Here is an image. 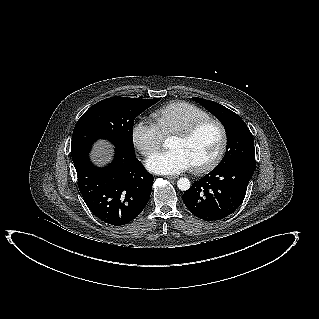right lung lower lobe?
<instances>
[{
  "mask_svg": "<svg viewBox=\"0 0 319 319\" xmlns=\"http://www.w3.org/2000/svg\"><path fill=\"white\" fill-rule=\"evenodd\" d=\"M90 148L72 154L78 187L91 212L114 226L131 222L146 206L154 181L139 160L117 148L115 158L104 168L89 159Z\"/></svg>",
  "mask_w": 319,
  "mask_h": 319,
  "instance_id": "98d812e1",
  "label": "right lung lower lobe"
}]
</instances>
